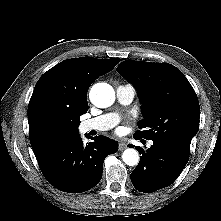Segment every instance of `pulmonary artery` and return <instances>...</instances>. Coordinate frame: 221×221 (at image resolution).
I'll return each instance as SVG.
<instances>
[{"mask_svg":"<svg viewBox=\"0 0 221 221\" xmlns=\"http://www.w3.org/2000/svg\"><path fill=\"white\" fill-rule=\"evenodd\" d=\"M116 96L118 102L122 105H129L135 96V88L130 85H120L116 89ZM119 122V116L116 113H107L95 118L85 120L81 123L80 128L83 132L95 131H107L113 128ZM152 142H149V146Z\"/></svg>","mask_w":221,"mask_h":221,"instance_id":"pulmonary-artery-1","label":"pulmonary artery"}]
</instances>
